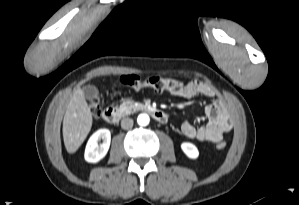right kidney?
Segmentation results:
<instances>
[{
  "instance_id": "1",
  "label": "right kidney",
  "mask_w": 299,
  "mask_h": 205,
  "mask_svg": "<svg viewBox=\"0 0 299 205\" xmlns=\"http://www.w3.org/2000/svg\"><path fill=\"white\" fill-rule=\"evenodd\" d=\"M102 140V143L99 141ZM111 142V133L108 129H99L89 138L84 158L87 162L97 163L107 154Z\"/></svg>"
}]
</instances>
